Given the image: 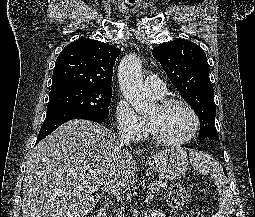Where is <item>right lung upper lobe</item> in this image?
I'll use <instances>...</instances> for the list:
<instances>
[{
	"label": "right lung upper lobe",
	"mask_w": 255,
	"mask_h": 217,
	"mask_svg": "<svg viewBox=\"0 0 255 217\" xmlns=\"http://www.w3.org/2000/svg\"><path fill=\"white\" fill-rule=\"evenodd\" d=\"M119 54L116 47L101 41L78 39L57 57L51 87L77 84L112 89L113 66Z\"/></svg>",
	"instance_id": "right-lung-upper-lobe-1"
}]
</instances>
